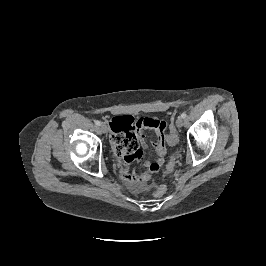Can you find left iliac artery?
Returning a JSON list of instances; mask_svg holds the SVG:
<instances>
[{
  "instance_id": "44dca946",
  "label": "left iliac artery",
  "mask_w": 266,
  "mask_h": 266,
  "mask_svg": "<svg viewBox=\"0 0 266 266\" xmlns=\"http://www.w3.org/2000/svg\"><path fill=\"white\" fill-rule=\"evenodd\" d=\"M186 116H187V114H186L185 112H183V113L181 114V117H182L183 119H185Z\"/></svg>"
}]
</instances>
